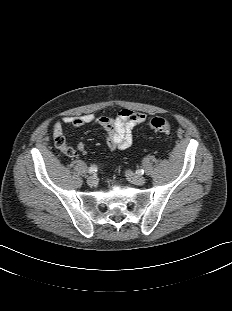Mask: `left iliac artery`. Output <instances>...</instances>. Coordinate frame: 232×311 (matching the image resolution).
<instances>
[{"label": "left iliac artery", "instance_id": "left-iliac-artery-1", "mask_svg": "<svg viewBox=\"0 0 232 311\" xmlns=\"http://www.w3.org/2000/svg\"><path fill=\"white\" fill-rule=\"evenodd\" d=\"M136 173L139 174V175H142V174H144V170L143 169L137 170Z\"/></svg>", "mask_w": 232, "mask_h": 311}]
</instances>
